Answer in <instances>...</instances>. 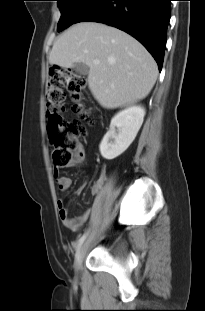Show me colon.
<instances>
[{
	"label": "colon",
	"mask_w": 205,
	"mask_h": 311,
	"mask_svg": "<svg viewBox=\"0 0 205 311\" xmlns=\"http://www.w3.org/2000/svg\"><path fill=\"white\" fill-rule=\"evenodd\" d=\"M85 85V78L70 70L54 67L49 71L45 111L55 166H66L71 161L85 135V127L80 120L67 119L63 115V103L68 93L72 98V111L84 119L89 116L90 112L82 102Z\"/></svg>",
	"instance_id": "1"
}]
</instances>
